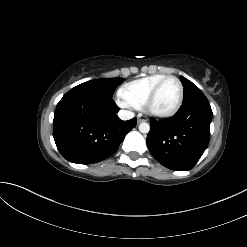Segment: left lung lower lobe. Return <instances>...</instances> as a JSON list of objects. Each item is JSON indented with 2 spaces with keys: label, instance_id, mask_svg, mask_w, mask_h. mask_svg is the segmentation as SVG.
Masks as SVG:
<instances>
[{
  "label": "left lung lower lobe",
  "instance_id": "1",
  "mask_svg": "<svg viewBox=\"0 0 247 247\" xmlns=\"http://www.w3.org/2000/svg\"><path fill=\"white\" fill-rule=\"evenodd\" d=\"M212 114L207 98L200 96L183 103L173 117L151 121L149 151L171 170L192 169L208 147Z\"/></svg>",
  "mask_w": 247,
  "mask_h": 247
}]
</instances>
